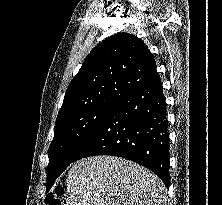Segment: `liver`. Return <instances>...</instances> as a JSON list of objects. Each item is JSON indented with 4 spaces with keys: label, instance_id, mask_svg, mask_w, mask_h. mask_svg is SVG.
Segmentation results:
<instances>
[{
    "label": "liver",
    "instance_id": "6515ba94",
    "mask_svg": "<svg viewBox=\"0 0 222 205\" xmlns=\"http://www.w3.org/2000/svg\"><path fill=\"white\" fill-rule=\"evenodd\" d=\"M166 187L146 168L114 156L77 161L67 177V205H166Z\"/></svg>",
    "mask_w": 222,
    "mask_h": 205
}]
</instances>
